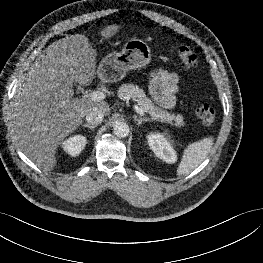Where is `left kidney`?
Here are the masks:
<instances>
[{
    "instance_id": "5707ae66",
    "label": "left kidney",
    "mask_w": 263,
    "mask_h": 263,
    "mask_svg": "<svg viewBox=\"0 0 263 263\" xmlns=\"http://www.w3.org/2000/svg\"><path fill=\"white\" fill-rule=\"evenodd\" d=\"M150 149L157 157L167 163H174L176 161V153L168 141V139L160 133H151L147 136Z\"/></svg>"
}]
</instances>
